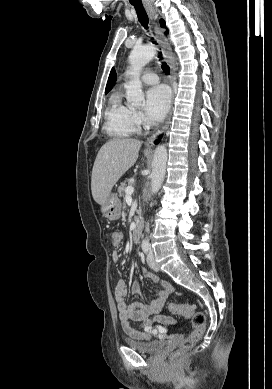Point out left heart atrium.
<instances>
[{
    "mask_svg": "<svg viewBox=\"0 0 272 389\" xmlns=\"http://www.w3.org/2000/svg\"><path fill=\"white\" fill-rule=\"evenodd\" d=\"M170 106L169 90L163 85H157L146 92L145 112L150 121H160L166 115Z\"/></svg>",
    "mask_w": 272,
    "mask_h": 389,
    "instance_id": "left-heart-atrium-1",
    "label": "left heart atrium"
}]
</instances>
